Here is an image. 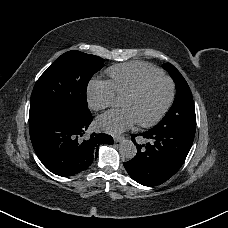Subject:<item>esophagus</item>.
<instances>
[{"label": "esophagus", "instance_id": "1", "mask_svg": "<svg viewBox=\"0 0 228 228\" xmlns=\"http://www.w3.org/2000/svg\"><path fill=\"white\" fill-rule=\"evenodd\" d=\"M123 139H124V136H116V137H114V142L120 143Z\"/></svg>", "mask_w": 228, "mask_h": 228}]
</instances>
